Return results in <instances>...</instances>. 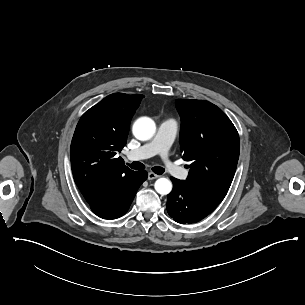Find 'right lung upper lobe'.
<instances>
[{"label":"right lung upper lobe","mask_w":305,"mask_h":305,"mask_svg":"<svg viewBox=\"0 0 305 305\" xmlns=\"http://www.w3.org/2000/svg\"><path fill=\"white\" fill-rule=\"evenodd\" d=\"M143 97L114 93L80 118L71 142V168L88 203L134 173L115 155L126 144L131 118Z\"/></svg>","instance_id":"cb5924a9"}]
</instances>
